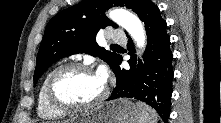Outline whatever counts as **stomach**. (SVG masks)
Segmentation results:
<instances>
[{
	"mask_svg": "<svg viewBox=\"0 0 221 123\" xmlns=\"http://www.w3.org/2000/svg\"><path fill=\"white\" fill-rule=\"evenodd\" d=\"M137 121L136 105L130 100L120 98L83 112L69 123H137Z\"/></svg>",
	"mask_w": 221,
	"mask_h": 123,
	"instance_id": "stomach-1",
	"label": "stomach"
}]
</instances>
